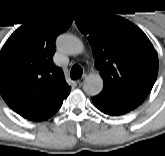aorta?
<instances>
[{"mask_svg": "<svg viewBox=\"0 0 165 156\" xmlns=\"http://www.w3.org/2000/svg\"><path fill=\"white\" fill-rule=\"evenodd\" d=\"M58 46L62 52L68 55H79L84 52V45L76 36L66 34L63 35ZM103 89V79L98 74L88 76L83 85V90L87 95H98Z\"/></svg>", "mask_w": 165, "mask_h": 156, "instance_id": "762f6f07", "label": "aorta"}]
</instances>
